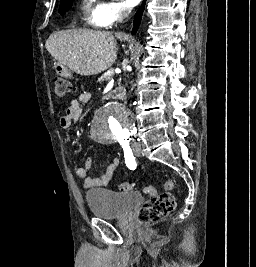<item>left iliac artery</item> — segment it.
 Listing matches in <instances>:
<instances>
[{"label":"left iliac artery","mask_w":256,"mask_h":267,"mask_svg":"<svg viewBox=\"0 0 256 267\" xmlns=\"http://www.w3.org/2000/svg\"><path fill=\"white\" fill-rule=\"evenodd\" d=\"M120 145H122V148L124 150V157H125V163L126 166L131 169L134 170L137 166L136 162H135V157L133 156L132 150L129 146V142H126L123 139L118 140Z\"/></svg>","instance_id":"1"}]
</instances>
